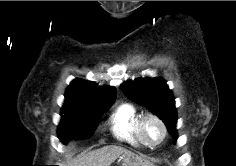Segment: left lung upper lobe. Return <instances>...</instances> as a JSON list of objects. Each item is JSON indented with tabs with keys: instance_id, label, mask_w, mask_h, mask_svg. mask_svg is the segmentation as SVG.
<instances>
[{
	"instance_id": "1",
	"label": "left lung upper lobe",
	"mask_w": 236,
	"mask_h": 166,
	"mask_svg": "<svg viewBox=\"0 0 236 166\" xmlns=\"http://www.w3.org/2000/svg\"><path fill=\"white\" fill-rule=\"evenodd\" d=\"M124 93L134 101L147 107L163 120L168 130L176 126L175 101L166 81L157 78H137L121 85Z\"/></svg>"
}]
</instances>
